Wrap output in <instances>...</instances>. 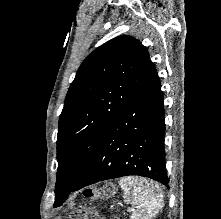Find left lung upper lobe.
<instances>
[{
  "mask_svg": "<svg viewBox=\"0 0 221 219\" xmlns=\"http://www.w3.org/2000/svg\"><path fill=\"white\" fill-rule=\"evenodd\" d=\"M153 69L147 49L126 35L106 42L83 61L59 119L54 207L67 199L105 132Z\"/></svg>",
  "mask_w": 221,
  "mask_h": 219,
  "instance_id": "5c2ea615",
  "label": "left lung upper lobe"
}]
</instances>
